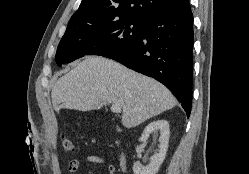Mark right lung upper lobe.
I'll list each match as a JSON object with an SVG mask.
<instances>
[{
    "label": "right lung upper lobe",
    "instance_id": "obj_1",
    "mask_svg": "<svg viewBox=\"0 0 249 174\" xmlns=\"http://www.w3.org/2000/svg\"><path fill=\"white\" fill-rule=\"evenodd\" d=\"M189 0H82L67 29L131 17L146 20L160 12L183 9Z\"/></svg>",
    "mask_w": 249,
    "mask_h": 174
}]
</instances>
